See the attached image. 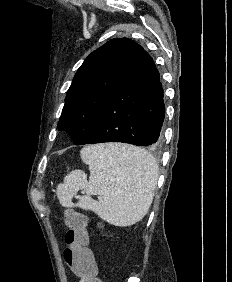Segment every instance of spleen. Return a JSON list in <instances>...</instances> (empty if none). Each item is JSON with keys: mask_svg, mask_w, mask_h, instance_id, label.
<instances>
[{"mask_svg": "<svg viewBox=\"0 0 232 282\" xmlns=\"http://www.w3.org/2000/svg\"><path fill=\"white\" fill-rule=\"evenodd\" d=\"M82 161L89 166L90 178L75 170L57 186V197L64 207L92 210L117 226H130L147 214L158 179V164L146 150L126 144H100L82 148ZM80 189L86 195L74 204ZM99 195V201L91 198Z\"/></svg>", "mask_w": 232, "mask_h": 282, "instance_id": "3e777b00", "label": "spleen"}]
</instances>
